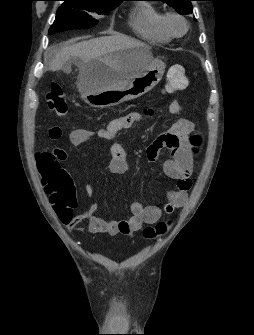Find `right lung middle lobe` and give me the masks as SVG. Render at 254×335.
I'll return each instance as SVG.
<instances>
[{
  "mask_svg": "<svg viewBox=\"0 0 254 335\" xmlns=\"http://www.w3.org/2000/svg\"><path fill=\"white\" fill-rule=\"evenodd\" d=\"M49 34L70 29H88L97 23L91 13L106 14L120 3H106L88 0H63Z\"/></svg>",
  "mask_w": 254,
  "mask_h": 335,
  "instance_id": "right-lung-middle-lobe-1",
  "label": "right lung middle lobe"
}]
</instances>
